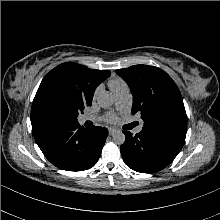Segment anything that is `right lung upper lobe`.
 Returning <instances> with one entry per match:
<instances>
[{
    "label": "right lung upper lobe",
    "mask_w": 220,
    "mask_h": 220,
    "mask_svg": "<svg viewBox=\"0 0 220 220\" xmlns=\"http://www.w3.org/2000/svg\"><path fill=\"white\" fill-rule=\"evenodd\" d=\"M109 70L89 69L84 65L66 62L52 69L42 80L31 109L32 127L44 123L67 124L62 120L50 116L45 111L44 99L49 86L54 82H60L72 87L84 100L90 101L96 87L110 76Z\"/></svg>",
    "instance_id": "right-lung-upper-lobe-1"
}]
</instances>
